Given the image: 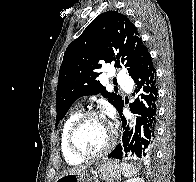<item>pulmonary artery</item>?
Masks as SVG:
<instances>
[{
  "mask_svg": "<svg viewBox=\"0 0 196 182\" xmlns=\"http://www.w3.org/2000/svg\"><path fill=\"white\" fill-rule=\"evenodd\" d=\"M116 79H117L118 83L122 86L129 87L131 84V80H130L129 76L123 72L117 73Z\"/></svg>",
  "mask_w": 196,
  "mask_h": 182,
  "instance_id": "1",
  "label": "pulmonary artery"
}]
</instances>
